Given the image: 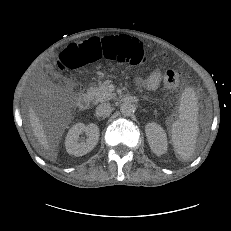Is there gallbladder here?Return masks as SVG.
<instances>
[{
	"label": "gallbladder",
	"mask_w": 231,
	"mask_h": 231,
	"mask_svg": "<svg viewBox=\"0 0 231 231\" xmlns=\"http://www.w3.org/2000/svg\"><path fill=\"white\" fill-rule=\"evenodd\" d=\"M45 93L48 94L50 97H52L53 95L56 94L55 87L52 84L48 83L46 86Z\"/></svg>",
	"instance_id": "obj_1"
}]
</instances>
